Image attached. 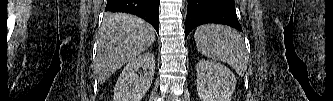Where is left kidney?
Returning a JSON list of instances; mask_svg holds the SVG:
<instances>
[{"label": "left kidney", "instance_id": "1", "mask_svg": "<svg viewBox=\"0 0 333 101\" xmlns=\"http://www.w3.org/2000/svg\"><path fill=\"white\" fill-rule=\"evenodd\" d=\"M197 92L202 101H230L236 87L233 72L220 63L201 60L197 63Z\"/></svg>", "mask_w": 333, "mask_h": 101}]
</instances>
